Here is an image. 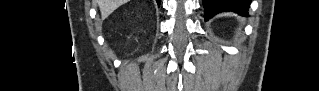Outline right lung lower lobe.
Returning <instances> with one entry per match:
<instances>
[{"label": "right lung lower lobe", "mask_w": 319, "mask_h": 91, "mask_svg": "<svg viewBox=\"0 0 319 91\" xmlns=\"http://www.w3.org/2000/svg\"><path fill=\"white\" fill-rule=\"evenodd\" d=\"M156 2H157V4H158V6H160V0H156Z\"/></svg>", "instance_id": "1"}]
</instances>
